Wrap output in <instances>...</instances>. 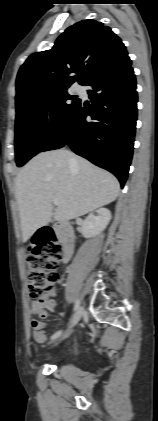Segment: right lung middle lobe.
Masks as SVG:
<instances>
[{
	"label": "right lung middle lobe",
	"instance_id": "right-lung-middle-lobe-1",
	"mask_svg": "<svg viewBox=\"0 0 158 421\" xmlns=\"http://www.w3.org/2000/svg\"><path fill=\"white\" fill-rule=\"evenodd\" d=\"M80 102L69 95L67 89H61L16 104L15 155L18 167L41 152ZM48 110L51 124L47 120Z\"/></svg>",
	"mask_w": 158,
	"mask_h": 421
}]
</instances>
